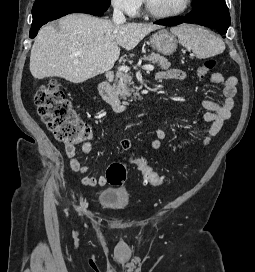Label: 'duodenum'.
<instances>
[{"label":"duodenum","instance_id":"obj_1","mask_svg":"<svg viewBox=\"0 0 255 272\" xmlns=\"http://www.w3.org/2000/svg\"><path fill=\"white\" fill-rule=\"evenodd\" d=\"M97 90L100 96L115 112L121 113L125 111L126 106L122 104L118 96L112 91L108 81L104 80L99 82L97 84Z\"/></svg>","mask_w":255,"mask_h":272}]
</instances>
